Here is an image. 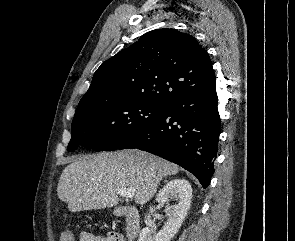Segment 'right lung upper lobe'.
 <instances>
[{
  "label": "right lung upper lobe",
  "mask_w": 295,
  "mask_h": 241,
  "mask_svg": "<svg viewBox=\"0 0 295 241\" xmlns=\"http://www.w3.org/2000/svg\"><path fill=\"white\" fill-rule=\"evenodd\" d=\"M215 80L209 55L197 40L163 28L145 33L102 63L83 98L114 93L164 106L175 97L209 87Z\"/></svg>",
  "instance_id": "1"
}]
</instances>
